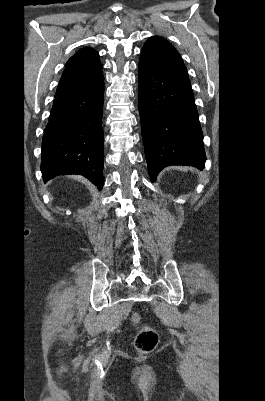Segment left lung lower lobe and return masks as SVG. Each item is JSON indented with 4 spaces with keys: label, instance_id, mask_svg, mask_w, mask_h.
I'll return each instance as SVG.
<instances>
[{
    "label": "left lung lower lobe",
    "instance_id": "left-lung-lower-lobe-1",
    "mask_svg": "<svg viewBox=\"0 0 265 401\" xmlns=\"http://www.w3.org/2000/svg\"><path fill=\"white\" fill-rule=\"evenodd\" d=\"M139 112L150 178L170 165L202 169L203 133L187 72L139 61Z\"/></svg>",
    "mask_w": 265,
    "mask_h": 401
}]
</instances>
